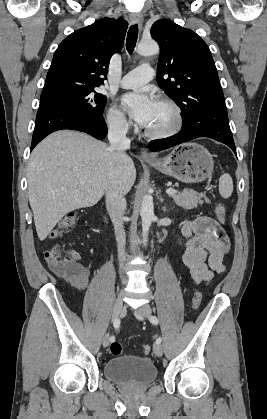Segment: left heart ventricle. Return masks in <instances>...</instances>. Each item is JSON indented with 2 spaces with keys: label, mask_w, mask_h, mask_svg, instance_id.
<instances>
[{
  "label": "left heart ventricle",
  "mask_w": 267,
  "mask_h": 419,
  "mask_svg": "<svg viewBox=\"0 0 267 419\" xmlns=\"http://www.w3.org/2000/svg\"><path fill=\"white\" fill-rule=\"evenodd\" d=\"M174 122V115L171 108L163 103L156 101L151 118L145 126L150 130H163Z\"/></svg>",
  "instance_id": "1"
}]
</instances>
